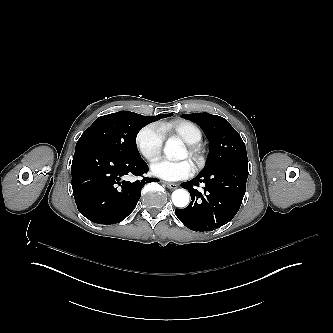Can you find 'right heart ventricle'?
Segmentation results:
<instances>
[{"label": "right heart ventricle", "instance_id": "e07e8e85", "mask_svg": "<svg viewBox=\"0 0 333 333\" xmlns=\"http://www.w3.org/2000/svg\"><path fill=\"white\" fill-rule=\"evenodd\" d=\"M158 129L164 137L166 135V128L159 126ZM170 129L172 137H180L187 144H196L202 140L201 130L192 122L178 120Z\"/></svg>", "mask_w": 333, "mask_h": 333}]
</instances>
